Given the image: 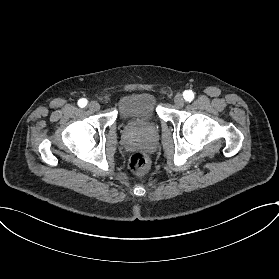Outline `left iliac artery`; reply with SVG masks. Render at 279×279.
Instances as JSON below:
<instances>
[{
	"label": "left iliac artery",
	"instance_id": "obj_1",
	"mask_svg": "<svg viewBox=\"0 0 279 279\" xmlns=\"http://www.w3.org/2000/svg\"><path fill=\"white\" fill-rule=\"evenodd\" d=\"M183 97L186 101L191 102L194 98V93L191 90H185L183 92Z\"/></svg>",
	"mask_w": 279,
	"mask_h": 279
}]
</instances>
